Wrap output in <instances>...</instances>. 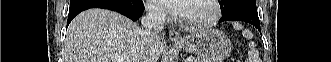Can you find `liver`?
Returning a JSON list of instances; mask_svg holds the SVG:
<instances>
[{
  "instance_id": "1",
  "label": "liver",
  "mask_w": 331,
  "mask_h": 62,
  "mask_svg": "<svg viewBox=\"0 0 331 62\" xmlns=\"http://www.w3.org/2000/svg\"><path fill=\"white\" fill-rule=\"evenodd\" d=\"M141 28L130 19L110 10L92 8L70 23L64 42L63 62H124L142 60ZM164 50L160 40L152 44L148 62H157Z\"/></svg>"
}]
</instances>
